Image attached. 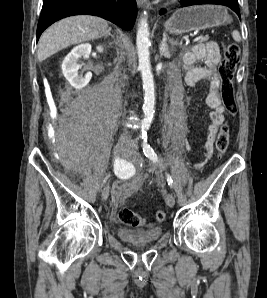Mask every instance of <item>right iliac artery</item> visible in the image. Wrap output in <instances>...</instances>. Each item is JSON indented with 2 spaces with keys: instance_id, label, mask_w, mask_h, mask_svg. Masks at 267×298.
I'll return each instance as SVG.
<instances>
[{
  "instance_id": "1",
  "label": "right iliac artery",
  "mask_w": 267,
  "mask_h": 298,
  "mask_svg": "<svg viewBox=\"0 0 267 298\" xmlns=\"http://www.w3.org/2000/svg\"><path fill=\"white\" fill-rule=\"evenodd\" d=\"M124 163H125V162H124L123 159L118 158V159L115 160V166H116V167H121V166L124 165Z\"/></svg>"
}]
</instances>
